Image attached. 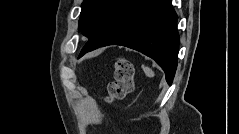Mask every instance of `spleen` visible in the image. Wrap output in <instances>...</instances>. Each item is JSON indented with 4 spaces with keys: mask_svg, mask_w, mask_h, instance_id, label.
I'll return each instance as SVG.
<instances>
[{
    "mask_svg": "<svg viewBox=\"0 0 239 134\" xmlns=\"http://www.w3.org/2000/svg\"><path fill=\"white\" fill-rule=\"evenodd\" d=\"M142 69L147 77H150V78L154 77V72L151 68L142 65Z\"/></svg>",
    "mask_w": 239,
    "mask_h": 134,
    "instance_id": "3e777b00",
    "label": "spleen"
}]
</instances>
